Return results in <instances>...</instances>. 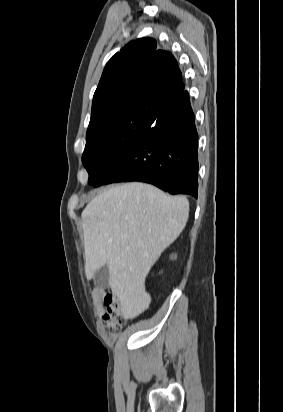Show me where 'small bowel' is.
I'll use <instances>...</instances> for the list:
<instances>
[{"label":"small bowel","mask_w":283,"mask_h":412,"mask_svg":"<svg viewBox=\"0 0 283 412\" xmlns=\"http://www.w3.org/2000/svg\"><path fill=\"white\" fill-rule=\"evenodd\" d=\"M102 295H103V291H102V290H96V291H95L94 296H95L96 299L100 298Z\"/></svg>","instance_id":"obj_1"}]
</instances>
